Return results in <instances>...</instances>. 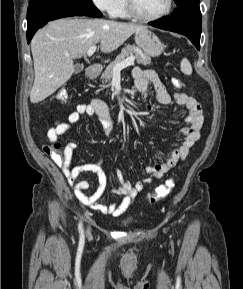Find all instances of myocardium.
<instances>
[{
    "label": "myocardium",
    "instance_id": "f54148a6",
    "mask_svg": "<svg viewBox=\"0 0 243 289\" xmlns=\"http://www.w3.org/2000/svg\"><path fill=\"white\" fill-rule=\"evenodd\" d=\"M125 5L126 10L131 17L142 21H155L164 18L171 13L174 5V0H168L167 8L165 9V11L154 16H146L140 13V11L137 9L135 5L134 0H125Z\"/></svg>",
    "mask_w": 243,
    "mask_h": 289
}]
</instances>
